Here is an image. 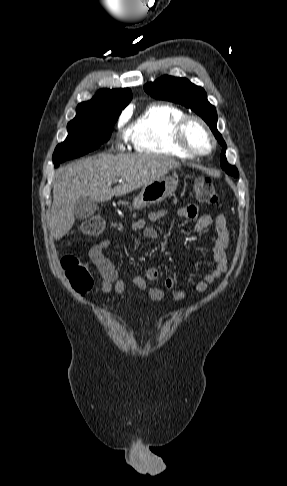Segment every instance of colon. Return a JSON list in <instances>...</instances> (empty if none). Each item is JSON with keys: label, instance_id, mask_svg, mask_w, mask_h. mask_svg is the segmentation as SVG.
<instances>
[{"label": "colon", "instance_id": "1", "mask_svg": "<svg viewBox=\"0 0 287 486\" xmlns=\"http://www.w3.org/2000/svg\"><path fill=\"white\" fill-rule=\"evenodd\" d=\"M194 191L197 199L207 205L217 206L219 197L216 188L208 177H198L194 181ZM105 229V220L101 216H92L81 225L85 235L98 236ZM61 264L71 286L79 293H88L94 285L93 273L90 266L74 255H66Z\"/></svg>", "mask_w": 287, "mask_h": 486}]
</instances>
